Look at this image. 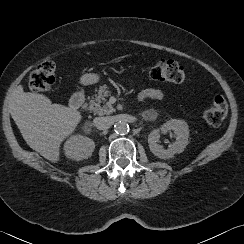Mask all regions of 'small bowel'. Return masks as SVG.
<instances>
[{
	"mask_svg": "<svg viewBox=\"0 0 244 244\" xmlns=\"http://www.w3.org/2000/svg\"><path fill=\"white\" fill-rule=\"evenodd\" d=\"M164 96L163 92L159 89H146L139 93L138 98L140 100L145 99H154V100H160Z\"/></svg>",
	"mask_w": 244,
	"mask_h": 244,
	"instance_id": "c3829d8e",
	"label": "small bowel"
}]
</instances>
